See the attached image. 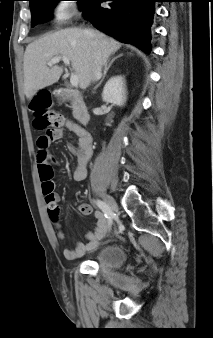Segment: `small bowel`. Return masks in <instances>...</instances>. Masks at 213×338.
Returning a JSON list of instances; mask_svg holds the SVG:
<instances>
[{"instance_id": "obj_1", "label": "small bowel", "mask_w": 213, "mask_h": 338, "mask_svg": "<svg viewBox=\"0 0 213 338\" xmlns=\"http://www.w3.org/2000/svg\"><path fill=\"white\" fill-rule=\"evenodd\" d=\"M65 126L78 136V144L76 147H72L71 151L76 158V167L74 169V179L77 181H83L87 175V163L91 156L92 151V137L91 135L74 120H66ZM63 135L61 128L53 130L51 136L40 135L37 138V165L41 175L42 171H52L53 156L50 153L51 145L54 141L60 139ZM60 195L53 192L49 198L45 197L47 212L49 217L54 221V227L56 230V236L59 240L65 239V233L62 228V224L59 222V202ZM78 209L83 214H89L91 207L86 204H79ZM105 215L98 211L95 213L96 227L93 232H88L85 235L86 243L83 241H77L73 248H66L63 251L64 257L68 260H76L82 257L85 253L89 252L95 244L101 240L106 232V218Z\"/></svg>"}]
</instances>
